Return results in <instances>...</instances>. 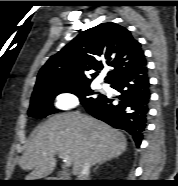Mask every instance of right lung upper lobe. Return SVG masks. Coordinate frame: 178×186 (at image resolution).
Returning a JSON list of instances; mask_svg holds the SVG:
<instances>
[{"instance_id": "cb5924a9", "label": "right lung upper lobe", "mask_w": 178, "mask_h": 186, "mask_svg": "<svg viewBox=\"0 0 178 186\" xmlns=\"http://www.w3.org/2000/svg\"><path fill=\"white\" fill-rule=\"evenodd\" d=\"M145 61L140 43L126 28L103 23L81 32L49 58L37 76L32 95L45 89L90 85L106 65L113 67L105 77L109 83L121 72ZM90 70L98 72L88 74Z\"/></svg>"}]
</instances>
